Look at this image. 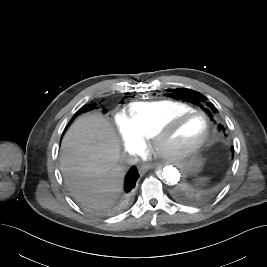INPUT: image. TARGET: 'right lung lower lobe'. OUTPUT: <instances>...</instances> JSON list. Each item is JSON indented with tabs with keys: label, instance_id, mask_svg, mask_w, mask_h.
Segmentation results:
<instances>
[{
	"label": "right lung lower lobe",
	"instance_id": "1",
	"mask_svg": "<svg viewBox=\"0 0 267 267\" xmlns=\"http://www.w3.org/2000/svg\"><path fill=\"white\" fill-rule=\"evenodd\" d=\"M89 106H91V105H87L86 107H89ZM82 110H83V109H82ZM82 110L79 111V112L77 113V115H79L80 113H84V112H82ZM77 115H75V116L71 119V121H72ZM71 121H70V122H71ZM138 178H139V174H138L137 168H136L135 166H132V167L130 168V170L128 171L126 177H125L124 191H125L126 193L131 192V190L135 188V186H136V182H137Z\"/></svg>",
	"mask_w": 267,
	"mask_h": 267
}]
</instances>
